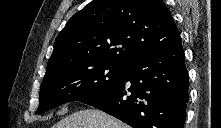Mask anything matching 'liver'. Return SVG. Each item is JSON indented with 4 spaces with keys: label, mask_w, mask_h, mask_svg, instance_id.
<instances>
[{
    "label": "liver",
    "mask_w": 221,
    "mask_h": 128,
    "mask_svg": "<svg viewBox=\"0 0 221 128\" xmlns=\"http://www.w3.org/2000/svg\"><path fill=\"white\" fill-rule=\"evenodd\" d=\"M53 128H129L111 115L98 109L77 111L53 126Z\"/></svg>",
    "instance_id": "obj_1"
}]
</instances>
